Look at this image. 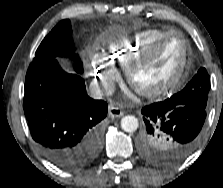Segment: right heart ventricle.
I'll return each mask as SVG.
<instances>
[{
  "mask_svg": "<svg viewBox=\"0 0 223 188\" xmlns=\"http://www.w3.org/2000/svg\"><path fill=\"white\" fill-rule=\"evenodd\" d=\"M169 30L150 28L128 38L115 40L106 45L105 57L112 65L127 68L155 41Z\"/></svg>",
  "mask_w": 223,
  "mask_h": 188,
  "instance_id": "1",
  "label": "right heart ventricle"
}]
</instances>
